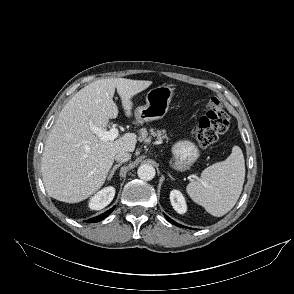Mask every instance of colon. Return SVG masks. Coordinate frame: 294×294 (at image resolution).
Returning <instances> with one entry per match:
<instances>
[{
    "label": "colon",
    "instance_id": "obj_1",
    "mask_svg": "<svg viewBox=\"0 0 294 294\" xmlns=\"http://www.w3.org/2000/svg\"><path fill=\"white\" fill-rule=\"evenodd\" d=\"M230 126V118L221 101L212 97L196 128V140L200 148L206 149L215 143Z\"/></svg>",
    "mask_w": 294,
    "mask_h": 294
}]
</instances>
